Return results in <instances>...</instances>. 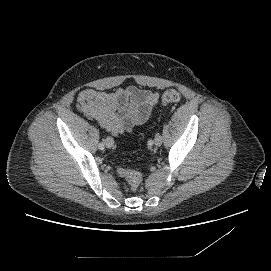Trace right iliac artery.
<instances>
[{
  "instance_id": "82829eb1",
  "label": "right iliac artery",
  "mask_w": 271,
  "mask_h": 271,
  "mask_svg": "<svg viewBox=\"0 0 271 271\" xmlns=\"http://www.w3.org/2000/svg\"><path fill=\"white\" fill-rule=\"evenodd\" d=\"M98 147H99L100 150H103V149H104V143H102V142L99 143V146H98Z\"/></svg>"
}]
</instances>
